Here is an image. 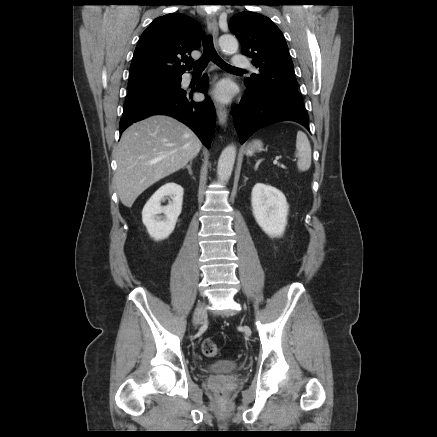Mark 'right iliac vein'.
Wrapping results in <instances>:
<instances>
[{
	"label": "right iliac vein",
	"instance_id": "1",
	"mask_svg": "<svg viewBox=\"0 0 437 437\" xmlns=\"http://www.w3.org/2000/svg\"><path fill=\"white\" fill-rule=\"evenodd\" d=\"M205 316V307L204 303H200L197 308L195 309L194 315H193V322L195 325H198L202 322L203 318Z\"/></svg>",
	"mask_w": 437,
	"mask_h": 437
}]
</instances>
